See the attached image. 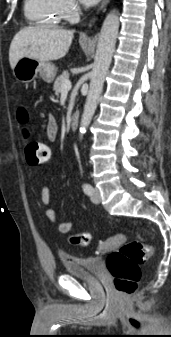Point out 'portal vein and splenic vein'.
Instances as JSON below:
<instances>
[{
	"mask_svg": "<svg viewBox=\"0 0 171 337\" xmlns=\"http://www.w3.org/2000/svg\"><path fill=\"white\" fill-rule=\"evenodd\" d=\"M71 89V82L69 79H66L62 82V92H67Z\"/></svg>",
	"mask_w": 171,
	"mask_h": 337,
	"instance_id": "obj_1",
	"label": "portal vein and splenic vein"
}]
</instances>
